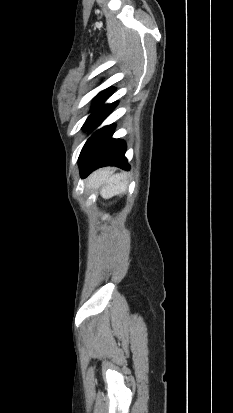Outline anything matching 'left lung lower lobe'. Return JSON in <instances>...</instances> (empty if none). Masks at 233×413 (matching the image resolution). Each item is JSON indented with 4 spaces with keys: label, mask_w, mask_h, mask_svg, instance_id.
I'll list each match as a JSON object with an SVG mask.
<instances>
[{
    "label": "left lung lower lobe",
    "mask_w": 233,
    "mask_h": 413,
    "mask_svg": "<svg viewBox=\"0 0 233 413\" xmlns=\"http://www.w3.org/2000/svg\"><path fill=\"white\" fill-rule=\"evenodd\" d=\"M117 102L107 105L92 121L88 129H95L115 108ZM114 125L96 131L85 143L79 156V167L82 178L103 166H118L129 169L125 158L126 144L123 140L113 139Z\"/></svg>",
    "instance_id": "0a47b994"
}]
</instances>
